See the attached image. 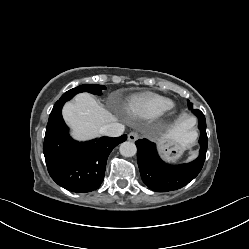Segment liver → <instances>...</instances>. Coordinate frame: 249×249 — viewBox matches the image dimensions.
Returning a JSON list of instances; mask_svg holds the SVG:
<instances>
[{
	"label": "liver",
	"instance_id": "obj_1",
	"mask_svg": "<svg viewBox=\"0 0 249 249\" xmlns=\"http://www.w3.org/2000/svg\"><path fill=\"white\" fill-rule=\"evenodd\" d=\"M63 117L72 129L71 135L79 141L94 138L103 126L117 120L89 93H80L76 95L73 102L66 103L63 108ZM193 125L192 119L180 118L169 130L168 135L177 137L189 145L196 139V133L191 131Z\"/></svg>",
	"mask_w": 249,
	"mask_h": 249
}]
</instances>
